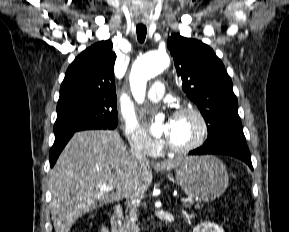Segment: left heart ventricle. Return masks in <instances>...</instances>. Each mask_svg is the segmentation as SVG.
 I'll return each instance as SVG.
<instances>
[{"label":"left heart ventricle","instance_id":"1","mask_svg":"<svg viewBox=\"0 0 289 232\" xmlns=\"http://www.w3.org/2000/svg\"><path fill=\"white\" fill-rule=\"evenodd\" d=\"M200 133V125L196 117L186 113L172 118L168 142L182 147L194 142Z\"/></svg>","mask_w":289,"mask_h":232}]
</instances>
